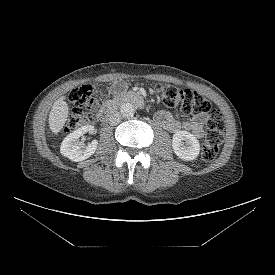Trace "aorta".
Listing matches in <instances>:
<instances>
[{"label":"aorta","instance_id":"1","mask_svg":"<svg viewBox=\"0 0 275 275\" xmlns=\"http://www.w3.org/2000/svg\"><path fill=\"white\" fill-rule=\"evenodd\" d=\"M120 113L124 116V117H132L135 113V107L133 104L127 102V103H123L120 106Z\"/></svg>","mask_w":275,"mask_h":275}]
</instances>
